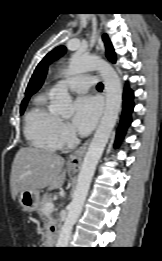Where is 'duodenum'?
I'll use <instances>...</instances> for the list:
<instances>
[{"label":"duodenum","mask_w":162,"mask_h":261,"mask_svg":"<svg viewBox=\"0 0 162 261\" xmlns=\"http://www.w3.org/2000/svg\"><path fill=\"white\" fill-rule=\"evenodd\" d=\"M57 242V234L55 232H51L48 235V244L49 245H55Z\"/></svg>","instance_id":"obj_1"}]
</instances>
